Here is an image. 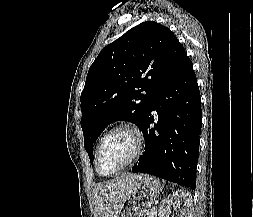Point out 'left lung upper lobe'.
I'll return each mask as SVG.
<instances>
[{"label": "left lung upper lobe", "mask_w": 253, "mask_h": 217, "mask_svg": "<svg viewBox=\"0 0 253 217\" xmlns=\"http://www.w3.org/2000/svg\"><path fill=\"white\" fill-rule=\"evenodd\" d=\"M185 49L169 28L143 22L107 45L90 66L81 93L84 146L114 121L140 126L159 87L175 71Z\"/></svg>", "instance_id": "1"}]
</instances>
